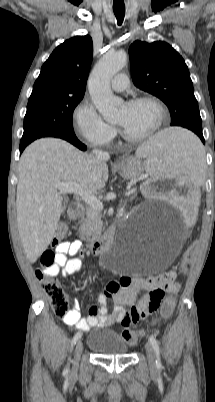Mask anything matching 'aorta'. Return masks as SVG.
I'll return each mask as SVG.
<instances>
[{
  "label": "aorta",
  "mask_w": 215,
  "mask_h": 402,
  "mask_svg": "<svg viewBox=\"0 0 215 402\" xmlns=\"http://www.w3.org/2000/svg\"><path fill=\"white\" fill-rule=\"evenodd\" d=\"M127 63L125 52L106 53L95 65L88 80V89L93 104L106 121H112L118 115L122 99L116 97L110 81ZM122 257L111 261L115 269L121 268Z\"/></svg>",
  "instance_id": "obj_1"
}]
</instances>
